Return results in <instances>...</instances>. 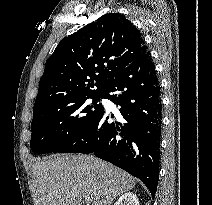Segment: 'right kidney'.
Instances as JSON below:
<instances>
[{"label": "right kidney", "instance_id": "right-kidney-1", "mask_svg": "<svg viewBox=\"0 0 212 205\" xmlns=\"http://www.w3.org/2000/svg\"><path fill=\"white\" fill-rule=\"evenodd\" d=\"M114 205H140L139 200L135 194L131 192L124 193L120 198L116 201Z\"/></svg>", "mask_w": 212, "mask_h": 205}]
</instances>
